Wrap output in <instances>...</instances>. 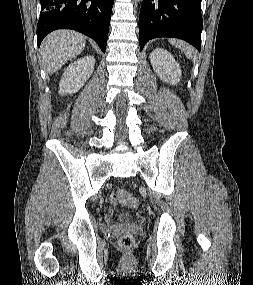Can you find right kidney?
<instances>
[{
  "instance_id": "ca27d5eb",
  "label": "right kidney",
  "mask_w": 253,
  "mask_h": 285,
  "mask_svg": "<svg viewBox=\"0 0 253 285\" xmlns=\"http://www.w3.org/2000/svg\"><path fill=\"white\" fill-rule=\"evenodd\" d=\"M95 65L94 56L88 55L71 63L63 72L59 94L76 93L92 75Z\"/></svg>"
}]
</instances>
